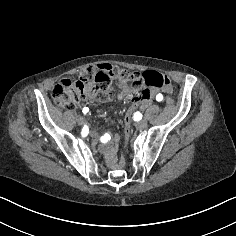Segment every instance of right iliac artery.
<instances>
[{"label":"right iliac artery","mask_w":236,"mask_h":236,"mask_svg":"<svg viewBox=\"0 0 236 236\" xmlns=\"http://www.w3.org/2000/svg\"><path fill=\"white\" fill-rule=\"evenodd\" d=\"M88 133H89V128L87 125H85L82 129V132H81L82 137H86L88 135Z\"/></svg>","instance_id":"right-iliac-artery-1"}]
</instances>
